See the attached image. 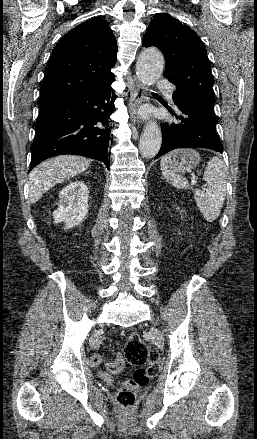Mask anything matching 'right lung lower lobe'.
I'll list each match as a JSON object with an SVG mask.
<instances>
[{
  "label": "right lung lower lobe",
  "mask_w": 257,
  "mask_h": 439,
  "mask_svg": "<svg viewBox=\"0 0 257 439\" xmlns=\"http://www.w3.org/2000/svg\"><path fill=\"white\" fill-rule=\"evenodd\" d=\"M114 80L39 106L29 171L43 160L63 154L96 159L110 169L108 148L112 142V123L109 116L116 99L111 89Z\"/></svg>",
  "instance_id": "98d812e1"
}]
</instances>
